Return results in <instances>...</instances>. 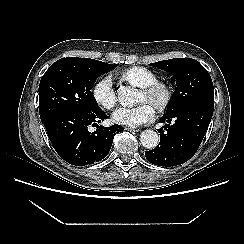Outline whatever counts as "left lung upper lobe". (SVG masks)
Masks as SVG:
<instances>
[{
  "mask_svg": "<svg viewBox=\"0 0 244 244\" xmlns=\"http://www.w3.org/2000/svg\"><path fill=\"white\" fill-rule=\"evenodd\" d=\"M169 72L177 88L168 104L165 115L172 114L183 106L196 102L214 104L213 83L208 71L192 58H174L151 63Z\"/></svg>",
  "mask_w": 244,
  "mask_h": 244,
  "instance_id": "1",
  "label": "left lung upper lobe"
}]
</instances>
